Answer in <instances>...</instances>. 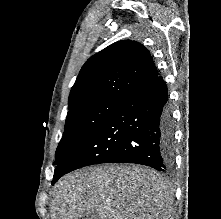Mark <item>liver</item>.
<instances>
[{"label":"liver","mask_w":221,"mask_h":219,"mask_svg":"<svg viewBox=\"0 0 221 219\" xmlns=\"http://www.w3.org/2000/svg\"><path fill=\"white\" fill-rule=\"evenodd\" d=\"M89 210L99 219H170L173 193L159 173L131 165L88 167L60 179L52 219H79Z\"/></svg>","instance_id":"6515ba94"}]
</instances>
